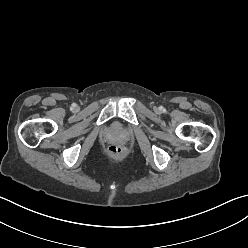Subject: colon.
<instances>
[{
	"mask_svg": "<svg viewBox=\"0 0 248 248\" xmlns=\"http://www.w3.org/2000/svg\"><path fill=\"white\" fill-rule=\"evenodd\" d=\"M108 153L113 158H120L124 155V149L119 145H111L108 148Z\"/></svg>",
	"mask_w": 248,
	"mask_h": 248,
	"instance_id": "colon-1",
	"label": "colon"
}]
</instances>
